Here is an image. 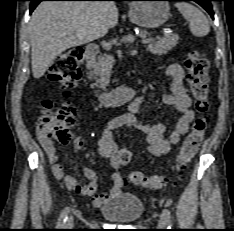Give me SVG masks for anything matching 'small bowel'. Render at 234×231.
<instances>
[{
    "label": "small bowel",
    "mask_w": 234,
    "mask_h": 231,
    "mask_svg": "<svg viewBox=\"0 0 234 231\" xmlns=\"http://www.w3.org/2000/svg\"><path fill=\"white\" fill-rule=\"evenodd\" d=\"M167 76L171 79V93L161 96L164 104L174 107L180 114V117L173 131L166 136L167 126L164 123L148 124L140 121L136 117L140 105L144 101V96L136 98L129 105V112L112 118L106 124V127L98 140L99 154L108 159L110 166V179L112 186L108 192L98 193L97 174L89 168L81 170L82 176L87 180L86 183H80L75 177L65 175L62 166L57 162L55 149L46 138L45 132L38 130L41 144L52 164V172L68 190L75 191L81 196L91 197L92 203L96 207L103 206L109 200L115 198L121 193L122 188L126 184V178L118 172L120 160L118 157V144L114 138V131L121 127L127 126L132 130L139 132L146 138L147 151L154 156H162L167 154L171 148L177 145L181 136L185 135L190 124L194 119V112L191 109V99L186 93L183 84L184 72L179 64H171L166 70ZM76 149H80L83 141L78 138L75 141Z\"/></svg>",
    "instance_id": "obj_1"
}]
</instances>
